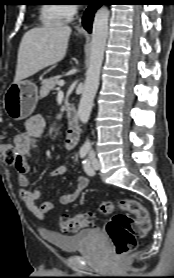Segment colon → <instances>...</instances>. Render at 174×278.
Wrapping results in <instances>:
<instances>
[{"mask_svg":"<svg viewBox=\"0 0 174 278\" xmlns=\"http://www.w3.org/2000/svg\"><path fill=\"white\" fill-rule=\"evenodd\" d=\"M0 153L8 164H13L16 159V149L10 142L0 140ZM115 206L119 207L124 213L115 214L107 223L106 230L112 241L115 252L118 255L132 251L136 246V240L144 236L149 228L150 221L143 205L130 198L112 201H104L100 204V212L103 214L111 213ZM96 221V214L92 211L62 217L61 225L66 231H77L89 227Z\"/></svg>","mask_w":174,"mask_h":278,"instance_id":"5ec220e1","label":"colon"}]
</instances>
